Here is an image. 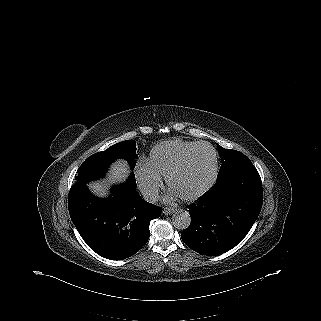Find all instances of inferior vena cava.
Returning <instances> with one entry per match:
<instances>
[{"mask_svg": "<svg viewBox=\"0 0 321 321\" xmlns=\"http://www.w3.org/2000/svg\"><path fill=\"white\" fill-rule=\"evenodd\" d=\"M143 199L149 203H156L159 200L158 190L155 188H146L142 190Z\"/></svg>", "mask_w": 321, "mask_h": 321, "instance_id": "inferior-vena-cava-1", "label": "inferior vena cava"}]
</instances>
